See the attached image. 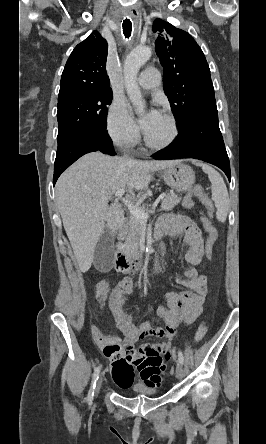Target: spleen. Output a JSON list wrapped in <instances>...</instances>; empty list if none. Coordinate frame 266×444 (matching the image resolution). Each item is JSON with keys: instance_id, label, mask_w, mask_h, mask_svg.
Listing matches in <instances>:
<instances>
[{"instance_id": "1", "label": "spleen", "mask_w": 266, "mask_h": 444, "mask_svg": "<svg viewBox=\"0 0 266 444\" xmlns=\"http://www.w3.org/2000/svg\"><path fill=\"white\" fill-rule=\"evenodd\" d=\"M196 165L201 166L203 171L208 174L211 182L212 200L217 208V219L225 222L228 214L229 196L223 178L214 168L207 164L196 163Z\"/></svg>"}]
</instances>
